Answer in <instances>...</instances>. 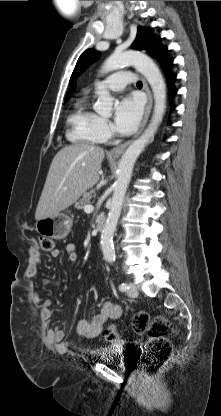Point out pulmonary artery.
<instances>
[{"label":"pulmonary artery","mask_w":221,"mask_h":416,"mask_svg":"<svg viewBox=\"0 0 221 416\" xmlns=\"http://www.w3.org/2000/svg\"><path fill=\"white\" fill-rule=\"evenodd\" d=\"M135 78L130 71L119 70L107 79L101 81V84L113 92L121 91L125 88L126 85L134 83Z\"/></svg>","instance_id":"e3ab8cb5"}]
</instances>
